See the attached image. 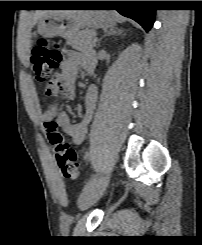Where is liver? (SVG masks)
<instances>
[{
    "label": "liver",
    "instance_id": "obj_1",
    "mask_svg": "<svg viewBox=\"0 0 202 245\" xmlns=\"http://www.w3.org/2000/svg\"><path fill=\"white\" fill-rule=\"evenodd\" d=\"M49 12H54V13H58V14L68 15V14L82 13L83 11H79V10H61V11H44V10H38L34 14L33 24H35L42 16H44L45 14H47Z\"/></svg>",
    "mask_w": 202,
    "mask_h": 245
}]
</instances>
